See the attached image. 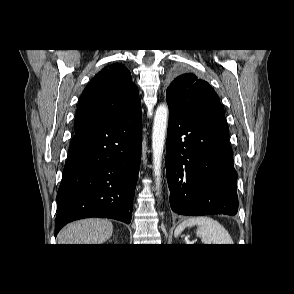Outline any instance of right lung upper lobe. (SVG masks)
Segmentation results:
<instances>
[{
    "mask_svg": "<svg viewBox=\"0 0 294 294\" xmlns=\"http://www.w3.org/2000/svg\"><path fill=\"white\" fill-rule=\"evenodd\" d=\"M140 103L138 89L128 69L120 63L103 68L84 89L74 128L115 119Z\"/></svg>",
    "mask_w": 294,
    "mask_h": 294,
    "instance_id": "1",
    "label": "right lung upper lobe"
}]
</instances>
